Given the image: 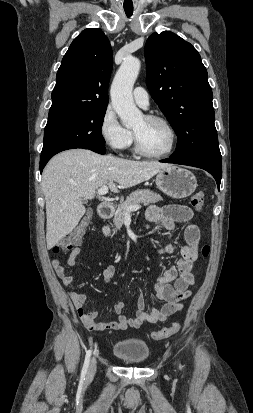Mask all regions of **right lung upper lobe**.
I'll use <instances>...</instances> for the list:
<instances>
[{"label":"right lung upper lobe","mask_w":253,"mask_h":413,"mask_svg":"<svg viewBox=\"0 0 253 413\" xmlns=\"http://www.w3.org/2000/svg\"><path fill=\"white\" fill-rule=\"evenodd\" d=\"M112 60L110 42L101 29L82 31L58 69L49 115L107 108Z\"/></svg>","instance_id":"cb5924a9"}]
</instances>
